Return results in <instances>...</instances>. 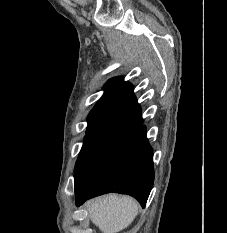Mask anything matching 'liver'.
<instances>
[{
	"mask_svg": "<svg viewBox=\"0 0 227 233\" xmlns=\"http://www.w3.org/2000/svg\"><path fill=\"white\" fill-rule=\"evenodd\" d=\"M86 208L102 233H118L133 222L139 205L129 196L110 194L91 200Z\"/></svg>",
	"mask_w": 227,
	"mask_h": 233,
	"instance_id": "liver-1",
	"label": "liver"
}]
</instances>
